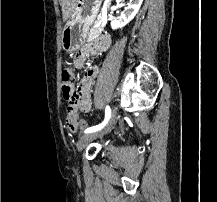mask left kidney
I'll return each mask as SVG.
<instances>
[{"mask_svg":"<svg viewBox=\"0 0 217 202\" xmlns=\"http://www.w3.org/2000/svg\"><path fill=\"white\" fill-rule=\"evenodd\" d=\"M121 2V0H119ZM143 0H130L129 4H126L121 16L117 20H111L112 30H119V28H124L126 24H129L133 20L134 16L138 14Z\"/></svg>","mask_w":217,"mask_h":202,"instance_id":"1","label":"left kidney"}]
</instances>
